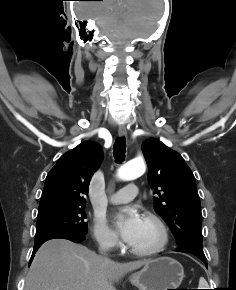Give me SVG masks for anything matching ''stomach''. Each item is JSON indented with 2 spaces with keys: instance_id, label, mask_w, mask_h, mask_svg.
Wrapping results in <instances>:
<instances>
[{
  "instance_id": "stomach-1",
  "label": "stomach",
  "mask_w": 236,
  "mask_h": 290,
  "mask_svg": "<svg viewBox=\"0 0 236 290\" xmlns=\"http://www.w3.org/2000/svg\"><path fill=\"white\" fill-rule=\"evenodd\" d=\"M184 278L183 266L171 257L149 260L144 267L133 273L129 280L139 290L177 289Z\"/></svg>"
}]
</instances>
